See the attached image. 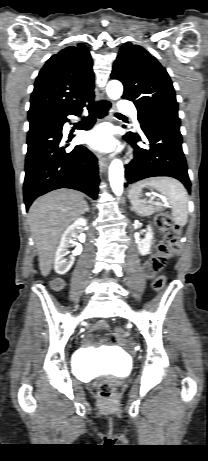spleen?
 Masks as SVG:
<instances>
[{
  "label": "spleen",
  "mask_w": 208,
  "mask_h": 461,
  "mask_svg": "<svg viewBox=\"0 0 208 461\" xmlns=\"http://www.w3.org/2000/svg\"><path fill=\"white\" fill-rule=\"evenodd\" d=\"M150 187L166 196L172 209V216L176 224L184 226L188 220V193L185 187L171 177H153L139 181L132 185L129 191V200L138 214L149 216L155 212L153 206H147L141 200L142 189Z\"/></svg>",
  "instance_id": "3e777b00"
}]
</instances>
